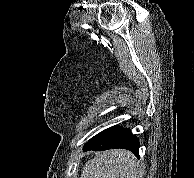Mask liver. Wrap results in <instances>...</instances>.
Masks as SVG:
<instances>
[{
  "label": "liver",
  "instance_id": "liver-1",
  "mask_svg": "<svg viewBox=\"0 0 194 178\" xmlns=\"http://www.w3.org/2000/svg\"><path fill=\"white\" fill-rule=\"evenodd\" d=\"M141 167L127 150H108L98 153L87 162L81 178H140Z\"/></svg>",
  "mask_w": 194,
  "mask_h": 178
}]
</instances>
